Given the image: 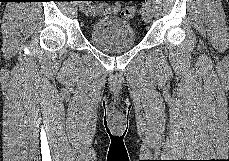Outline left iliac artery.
Instances as JSON below:
<instances>
[{
  "instance_id": "obj_1",
  "label": "left iliac artery",
  "mask_w": 229,
  "mask_h": 161,
  "mask_svg": "<svg viewBox=\"0 0 229 161\" xmlns=\"http://www.w3.org/2000/svg\"><path fill=\"white\" fill-rule=\"evenodd\" d=\"M145 1H146L147 3H149V4L151 3V0H145Z\"/></svg>"
}]
</instances>
